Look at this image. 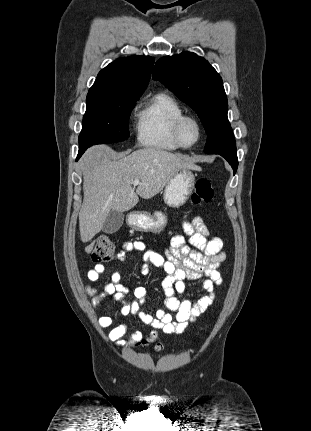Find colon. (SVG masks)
<instances>
[{"mask_svg":"<svg viewBox=\"0 0 311 431\" xmlns=\"http://www.w3.org/2000/svg\"><path fill=\"white\" fill-rule=\"evenodd\" d=\"M214 195V190L211 182L207 178H198L195 182L192 201L194 204L209 203ZM115 253V246L112 240L107 236H102L98 239L97 244L92 252V260L94 262H106L112 259ZM138 345H145V340L136 342ZM161 345H157L156 349L160 350Z\"/></svg>","mask_w":311,"mask_h":431,"instance_id":"colon-1","label":"colon"}]
</instances>
